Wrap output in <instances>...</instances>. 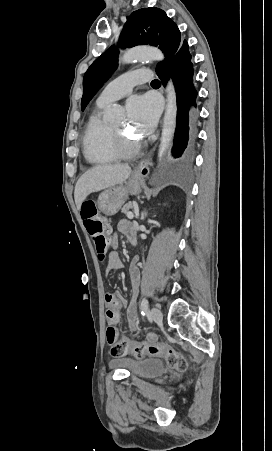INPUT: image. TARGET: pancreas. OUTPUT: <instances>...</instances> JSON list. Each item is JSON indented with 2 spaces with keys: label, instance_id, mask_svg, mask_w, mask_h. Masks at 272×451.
Instances as JSON below:
<instances>
[{
  "label": "pancreas",
  "instance_id": "cf45deb5",
  "mask_svg": "<svg viewBox=\"0 0 272 451\" xmlns=\"http://www.w3.org/2000/svg\"><path fill=\"white\" fill-rule=\"evenodd\" d=\"M131 208H133L131 202H128V204H125V206H123L121 212L122 214H125V216H127L129 210H131Z\"/></svg>",
  "mask_w": 272,
  "mask_h": 451
}]
</instances>
